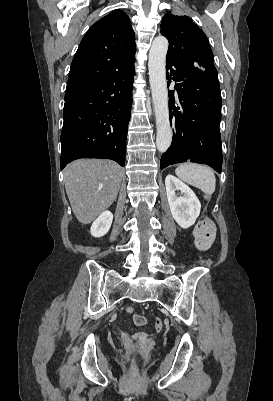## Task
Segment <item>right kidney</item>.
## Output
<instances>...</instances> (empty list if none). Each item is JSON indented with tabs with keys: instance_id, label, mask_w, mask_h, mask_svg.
I'll return each instance as SVG.
<instances>
[{
	"instance_id": "ca27d5eb",
	"label": "right kidney",
	"mask_w": 273,
	"mask_h": 401,
	"mask_svg": "<svg viewBox=\"0 0 273 401\" xmlns=\"http://www.w3.org/2000/svg\"><path fill=\"white\" fill-rule=\"evenodd\" d=\"M113 221V215L110 211H104L101 213L100 217L92 223V227L90 229L91 235L93 237H103L108 233Z\"/></svg>"
}]
</instances>
